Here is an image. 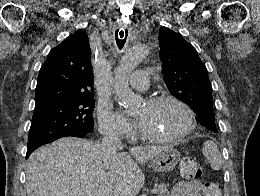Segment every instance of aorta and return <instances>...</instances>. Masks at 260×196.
Here are the masks:
<instances>
[{
	"label": "aorta",
	"instance_id": "aorta-1",
	"mask_svg": "<svg viewBox=\"0 0 260 196\" xmlns=\"http://www.w3.org/2000/svg\"><path fill=\"white\" fill-rule=\"evenodd\" d=\"M146 55L147 49L144 46H134L126 50L114 71L112 86L116 94V100L128 113L134 112L140 103V98L129 87V76Z\"/></svg>",
	"mask_w": 260,
	"mask_h": 196
}]
</instances>
